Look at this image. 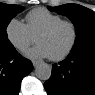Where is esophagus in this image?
I'll return each instance as SVG.
<instances>
[{
  "label": "esophagus",
  "instance_id": "obj_1",
  "mask_svg": "<svg viewBox=\"0 0 95 95\" xmlns=\"http://www.w3.org/2000/svg\"><path fill=\"white\" fill-rule=\"evenodd\" d=\"M32 63H33V66L36 67L39 64V61L33 60Z\"/></svg>",
  "mask_w": 95,
  "mask_h": 95
}]
</instances>
